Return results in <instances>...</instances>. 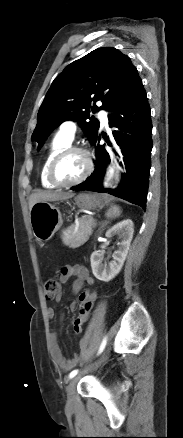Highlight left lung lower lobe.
I'll use <instances>...</instances> for the list:
<instances>
[{
	"label": "left lung lower lobe",
	"instance_id": "obj_1",
	"mask_svg": "<svg viewBox=\"0 0 183 438\" xmlns=\"http://www.w3.org/2000/svg\"><path fill=\"white\" fill-rule=\"evenodd\" d=\"M109 126L117 127L113 135L124 155L126 173L122 176L120 186L109 193L133 204L146 208V199L151 167L152 123L147 95L138 76L122 97L110 108ZM100 135L93 140L95 144ZM108 144V139H105ZM97 160L95 170L83 183L72 190L103 192L101 179L105 173L109 154L104 146L95 147Z\"/></svg>",
	"mask_w": 183,
	"mask_h": 438
}]
</instances>
